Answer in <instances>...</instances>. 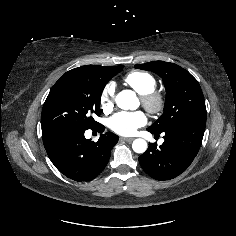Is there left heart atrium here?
<instances>
[{
	"label": "left heart atrium",
	"mask_w": 236,
	"mask_h": 236,
	"mask_svg": "<svg viewBox=\"0 0 236 236\" xmlns=\"http://www.w3.org/2000/svg\"><path fill=\"white\" fill-rule=\"evenodd\" d=\"M147 123L146 114L143 111L125 112L114 114L108 121L109 128L123 136H130L136 130Z\"/></svg>",
	"instance_id": "1"
}]
</instances>
